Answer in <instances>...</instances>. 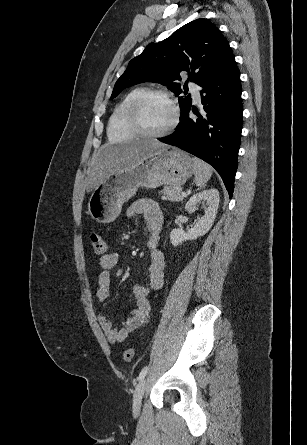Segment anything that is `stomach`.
Listing matches in <instances>:
<instances>
[{"label": "stomach", "instance_id": "0dacf381", "mask_svg": "<svg viewBox=\"0 0 307 445\" xmlns=\"http://www.w3.org/2000/svg\"><path fill=\"white\" fill-rule=\"evenodd\" d=\"M193 174L192 158L178 148H161L136 162L133 168L117 170L97 184L89 202L88 212L96 223H113L124 202L142 188H157L162 184L181 186Z\"/></svg>", "mask_w": 307, "mask_h": 445}]
</instances>
